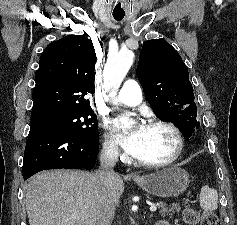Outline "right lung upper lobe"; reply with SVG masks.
<instances>
[{
  "label": "right lung upper lobe",
  "instance_id": "1",
  "mask_svg": "<svg viewBox=\"0 0 237 225\" xmlns=\"http://www.w3.org/2000/svg\"><path fill=\"white\" fill-rule=\"evenodd\" d=\"M96 54L92 42L68 35L50 43L40 57L31 122L89 109Z\"/></svg>",
  "mask_w": 237,
  "mask_h": 225
}]
</instances>
